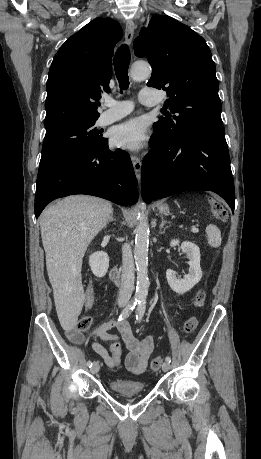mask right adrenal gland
I'll list each match as a JSON object with an SVG mask.
<instances>
[{"mask_svg": "<svg viewBox=\"0 0 261 459\" xmlns=\"http://www.w3.org/2000/svg\"><path fill=\"white\" fill-rule=\"evenodd\" d=\"M110 222H115V219L113 218V213L110 215V218H109V220H108V222H107V224H106L105 227H107V225H108Z\"/></svg>", "mask_w": 261, "mask_h": 459, "instance_id": "2a0ac1e0", "label": "right adrenal gland"}]
</instances>
